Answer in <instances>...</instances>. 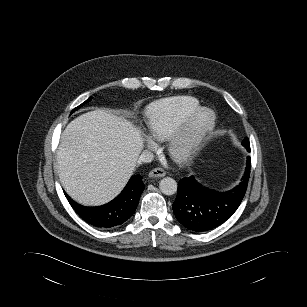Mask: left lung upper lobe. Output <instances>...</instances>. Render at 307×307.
<instances>
[{"label":"left lung upper lobe","instance_id":"left-lung-upper-lobe-1","mask_svg":"<svg viewBox=\"0 0 307 307\" xmlns=\"http://www.w3.org/2000/svg\"><path fill=\"white\" fill-rule=\"evenodd\" d=\"M242 145L246 147L247 150H250V143H249V139L246 138L243 142Z\"/></svg>","mask_w":307,"mask_h":307}]
</instances>
